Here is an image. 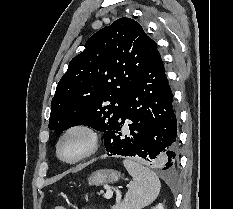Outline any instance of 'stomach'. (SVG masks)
<instances>
[{"label":"stomach","mask_w":233,"mask_h":209,"mask_svg":"<svg viewBox=\"0 0 233 209\" xmlns=\"http://www.w3.org/2000/svg\"><path fill=\"white\" fill-rule=\"evenodd\" d=\"M119 179V173L115 170H96L89 178L88 183L90 185L101 186L107 183L116 182Z\"/></svg>","instance_id":"1"}]
</instances>
